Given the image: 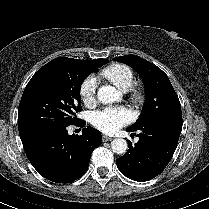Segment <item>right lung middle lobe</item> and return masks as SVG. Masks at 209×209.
Listing matches in <instances>:
<instances>
[{"instance_id":"1","label":"right lung middle lobe","mask_w":209,"mask_h":209,"mask_svg":"<svg viewBox=\"0 0 209 209\" xmlns=\"http://www.w3.org/2000/svg\"><path fill=\"white\" fill-rule=\"evenodd\" d=\"M95 71L86 60L59 57L39 69L24 89L18 109L21 139L76 123L81 111L80 88Z\"/></svg>"}]
</instances>
